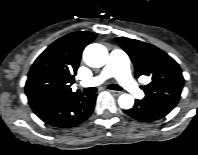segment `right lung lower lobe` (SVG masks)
Segmentation results:
<instances>
[{
	"mask_svg": "<svg viewBox=\"0 0 198 155\" xmlns=\"http://www.w3.org/2000/svg\"><path fill=\"white\" fill-rule=\"evenodd\" d=\"M95 101L96 95L85 97L80 93L71 98L36 108L34 112L49 125L69 128L84 122L91 115Z\"/></svg>",
	"mask_w": 198,
	"mask_h": 155,
	"instance_id": "obj_1",
	"label": "right lung lower lobe"
}]
</instances>
